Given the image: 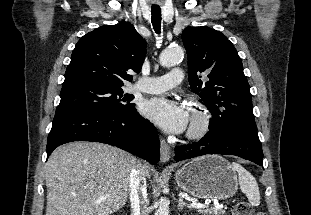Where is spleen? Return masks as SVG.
Returning <instances> with one entry per match:
<instances>
[{
    "mask_svg": "<svg viewBox=\"0 0 311 215\" xmlns=\"http://www.w3.org/2000/svg\"><path fill=\"white\" fill-rule=\"evenodd\" d=\"M232 168L238 173L241 191L246 194L252 206H258L260 204V192L254 176L238 163H232Z\"/></svg>",
    "mask_w": 311,
    "mask_h": 215,
    "instance_id": "1",
    "label": "spleen"
}]
</instances>
